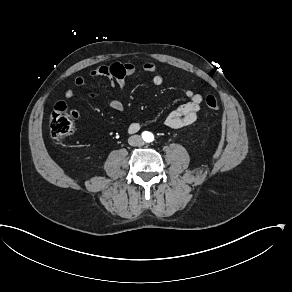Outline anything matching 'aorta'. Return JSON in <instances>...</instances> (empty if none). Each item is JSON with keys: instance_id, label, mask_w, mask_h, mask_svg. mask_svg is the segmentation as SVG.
Masks as SVG:
<instances>
[{"instance_id": "762f6f07", "label": "aorta", "mask_w": 292, "mask_h": 292, "mask_svg": "<svg viewBox=\"0 0 292 292\" xmlns=\"http://www.w3.org/2000/svg\"><path fill=\"white\" fill-rule=\"evenodd\" d=\"M146 137H148V135H146ZM153 135H152V139H148V141L147 142H152L153 141Z\"/></svg>"}]
</instances>
